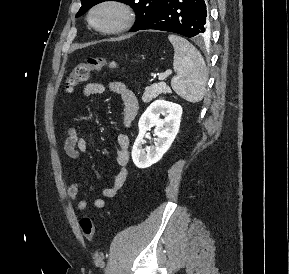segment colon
<instances>
[{"instance_id":"1","label":"colon","mask_w":289,"mask_h":274,"mask_svg":"<svg viewBox=\"0 0 289 274\" xmlns=\"http://www.w3.org/2000/svg\"><path fill=\"white\" fill-rule=\"evenodd\" d=\"M105 67L114 69L116 68V64L102 57L89 58L86 62L79 63L71 70V72L66 78V91L73 92L77 85L85 82L89 78L91 73L98 72ZM80 227L82 229L84 237L87 240L92 241L95 237L96 232V227L93 219H91L90 217H83L80 220Z\"/></svg>"}]
</instances>
